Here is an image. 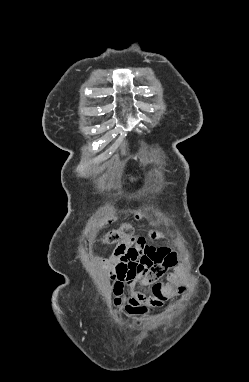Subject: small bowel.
Returning a JSON list of instances; mask_svg holds the SVG:
<instances>
[{"label": "small bowel", "mask_w": 249, "mask_h": 382, "mask_svg": "<svg viewBox=\"0 0 249 382\" xmlns=\"http://www.w3.org/2000/svg\"><path fill=\"white\" fill-rule=\"evenodd\" d=\"M163 237L159 231H151L147 237L137 236L134 239L122 240L117 243L112 254L102 260V267L113 282L114 303L119 308V313L126 315H140L147 312L145 304L161 306L167 297L161 302L160 298H147L141 293H132L128 297L123 296L125 287L132 286L135 276L130 271L133 266H139L143 258L144 250L142 248H154L156 240ZM143 240V241H138ZM168 250L161 248L162 252ZM156 280V279H155ZM154 280V281H155ZM153 281V282H154ZM152 282L148 280L141 282L142 285H148ZM179 288L177 291H181Z\"/></svg>", "instance_id": "c3829d8e"}]
</instances>
